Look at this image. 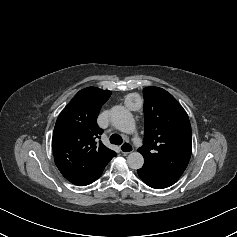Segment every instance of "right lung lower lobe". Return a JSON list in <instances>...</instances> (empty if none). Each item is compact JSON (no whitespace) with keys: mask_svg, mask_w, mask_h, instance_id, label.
I'll return each instance as SVG.
<instances>
[{"mask_svg":"<svg viewBox=\"0 0 237 237\" xmlns=\"http://www.w3.org/2000/svg\"><path fill=\"white\" fill-rule=\"evenodd\" d=\"M56 165L58 169L60 170V172L62 173V175L67 180H69L71 183L78 186H85V185L91 184L92 182H94L101 176L104 170L103 169L94 174H79V173L71 172L65 165H63L60 162H57Z\"/></svg>","mask_w":237,"mask_h":237,"instance_id":"1","label":"right lung lower lobe"}]
</instances>
